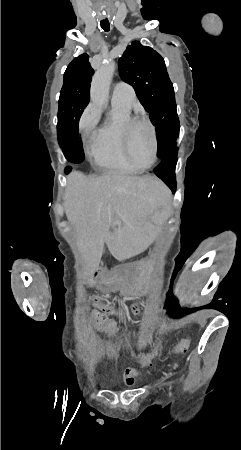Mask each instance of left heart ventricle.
Here are the masks:
<instances>
[{
    "mask_svg": "<svg viewBox=\"0 0 241 450\" xmlns=\"http://www.w3.org/2000/svg\"><path fill=\"white\" fill-rule=\"evenodd\" d=\"M151 124L147 117L140 116L138 122L131 127L134 133L129 138L130 144L126 146V149L132 154L131 162L135 165L150 164L151 150L148 148V138L152 135H149L148 131L155 130Z\"/></svg>",
    "mask_w": 241,
    "mask_h": 450,
    "instance_id": "b2bd125f",
    "label": "left heart ventricle"
}]
</instances>
